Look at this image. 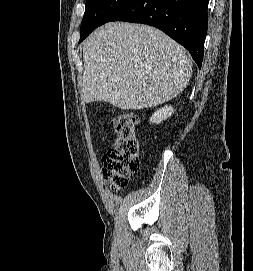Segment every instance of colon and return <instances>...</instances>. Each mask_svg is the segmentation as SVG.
<instances>
[{"label":"colon","instance_id":"5ec220e1","mask_svg":"<svg viewBox=\"0 0 253 271\" xmlns=\"http://www.w3.org/2000/svg\"><path fill=\"white\" fill-rule=\"evenodd\" d=\"M136 125L133 113L123 112L112 119L115 139L102 158V171L114 189L125 187L139 169L141 148Z\"/></svg>","mask_w":253,"mask_h":271}]
</instances>
